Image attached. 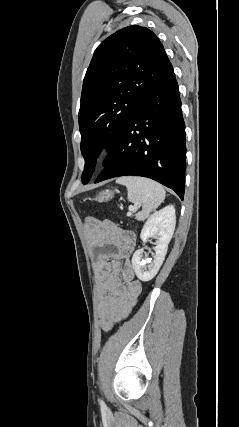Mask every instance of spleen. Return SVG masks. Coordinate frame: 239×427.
Wrapping results in <instances>:
<instances>
[{"instance_id": "1", "label": "spleen", "mask_w": 239, "mask_h": 427, "mask_svg": "<svg viewBox=\"0 0 239 427\" xmlns=\"http://www.w3.org/2000/svg\"><path fill=\"white\" fill-rule=\"evenodd\" d=\"M116 183L126 186L130 202L142 206V211L136 214V219L140 221L148 218L165 199L163 186L147 178L125 176L118 178Z\"/></svg>"}]
</instances>
